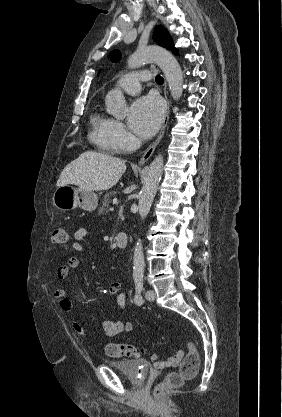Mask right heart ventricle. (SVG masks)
<instances>
[{"mask_svg":"<svg viewBox=\"0 0 282 417\" xmlns=\"http://www.w3.org/2000/svg\"><path fill=\"white\" fill-rule=\"evenodd\" d=\"M90 139L99 147L114 151L116 120L109 115L96 111L91 117Z\"/></svg>","mask_w":282,"mask_h":417,"instance_id":"right-heart-ventricle-1","label":"right heart ventricle"}]
</instances>
